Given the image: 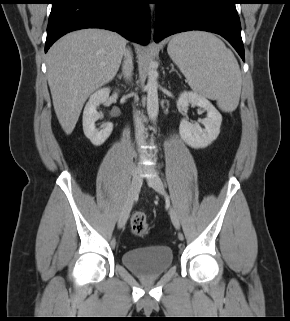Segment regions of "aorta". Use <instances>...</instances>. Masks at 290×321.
Returning <instances> with one entry per match:
<instances>
[{
  "label": "aorta",
  "instance_id": "1",
  "mask_svg": "<svg viewBox=\"0 0 290 321\" xmlns=\"http://www.w3.org/2000/svg\"><path fill=\"white\" fill-rule=\"evenodd\" d=\"M158 71L156 69V63L151 62L148 71L147 80V112L151 120H156L159 112L158 102Z\"/></svg>",
  "mask_w": 290,
  "mask_h": 321
}]
</instances>
